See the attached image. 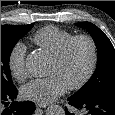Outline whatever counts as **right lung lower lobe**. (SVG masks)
I'll use <instances>...</instances> for the list:
<instances>
[{
  "instance_id": "obj_1",
  "label": "right lung lower lobe",
  "mask_w": 115,
  "mask_h": 115,
  "mask_svg": "<svg viewBox=\"0 0 115 115\" xmlns=\"http://www.w3.org/2000/svg\"><path fill=\"white\" fill-rule=\"evenodd\" d=\"M17 89L14 87L8 91L1 92V115H31L35 105L31 101L13 102L9 107V101H14L17 96Z\"/></svg>"
}]
</instances>
